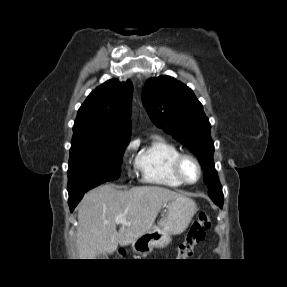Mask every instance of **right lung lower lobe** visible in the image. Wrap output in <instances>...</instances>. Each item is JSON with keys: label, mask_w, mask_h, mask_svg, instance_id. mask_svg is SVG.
<instances>
[{"label": "right lung lower lobe", "mask_w": 287, "mask_h": 287, "mask_svg": "<svg viewBox=\"0 0 287 287\" xmlns=\"http://www.w3.org/2000/svg\"><path fill=\"white\" fill-rule=\"evenodd\" d=\"M102 183H92L89 185L84 186L83 188L69 194V207H70V211L72 212L74 210V208L77 206V204L79 203V201L82 199L83 195L90 189L100 185Z\"/></svg>", "instance_id": "98d812e1"}]
</instances>
